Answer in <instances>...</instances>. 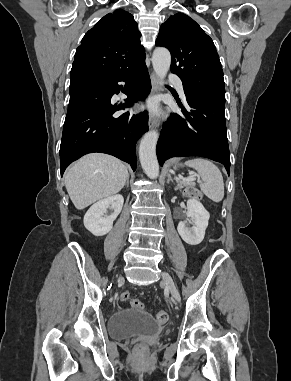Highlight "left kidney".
Wrapping results in <instances>:
<instances>
[{
  "label": "left kidney",
  "instance_id": "5707ae66",
  "mask_svg": "<svg viewBox=\"0 0 291 381\" xmlns=\"http://www.w3.org/2000/svg\"><path fill=\"white\" fill-rule=\"evenodd\" d=\"M186 215L187 220L178 223V233L187 244L198 245L204 239L210 214L198 200L192 198L187 201ZM188 223L193 226L188 227Z\"/></svg>",
  "mask_w": 291,
  "mask_h": 381
}]
</instances>
